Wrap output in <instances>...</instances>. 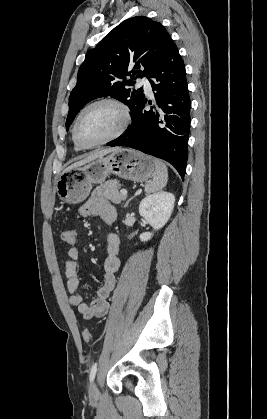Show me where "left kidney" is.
I'll use <instances>...</instances> for the list:
<instances>
[{"mask_svg":"<svg viewBox=\"0 0 267 419\" xmlns=\"http://www.w3.org/2000/svg\"><path fill=\"white\" fill-rule=\"evenodd\" d=\"M175 197L170 192H158L146 196L139 205V214L152 226L154 230L161 229L171 217L174 209ZM152 232H144L140 240L145 242L152 238Z\"/></svg>","mask_w":267,"mask_h":419,"instance_id":"left-kidney-1","label":"left kidney"}]
</instances>
